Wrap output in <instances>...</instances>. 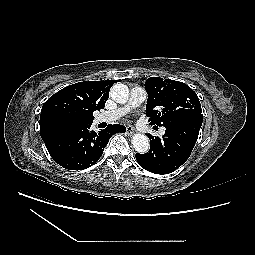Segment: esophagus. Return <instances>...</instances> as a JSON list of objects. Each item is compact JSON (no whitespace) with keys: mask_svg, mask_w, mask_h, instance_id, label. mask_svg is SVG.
<instances>
[{"mask_svg":"<svg viewBox=\"0 0 255 255\" xmlns=\"http://www.w3.org/2000/svg\"><path fill=\"white\" fill-rule=\"evenodd\" d=\"M126 133H127L128 135H132V134L134 133V128H133V126L128 125L127 128H126Z\"/></svg>","mask_w":255,"mask_h":255,"instance_id":"obj_1","label":"esophagus"}]
</instances>
